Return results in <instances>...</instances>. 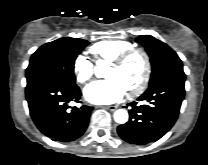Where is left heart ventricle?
<instances>
[{
    "label": "left heart ventricle",
    "mask_w": 208,
    "mask_h": 165,
    "mask_svg": "<svg viewBox=\"0 0 208 165\" xmlns=\"http://www.w3.org/2000/svg\"><path fill=\"white\" fill-rule=\"evenodd\" d=\"M144 74V60L141 55L130 57L121 67L109 66L106 77L116 78L124 86L126 91L135 87Z\"/></svg>",
    "instance_id": "1"
}]
</instances>
